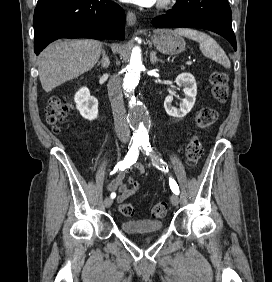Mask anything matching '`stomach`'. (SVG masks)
Masks as SVG:
<instances>
[{"label":"stomach","instance_id":"obj_1","mask_svg":"<svg viewBox=\"0 0 272 282\" xmlns=\"http://www.w3.org/2000/svg\"><path fill=\"white\" fill-rule=\"evenodd\" d=\"M156 49L165 54H178L185 50V40L170 30H157L152 36Z\"/></svg>","mask_w":272,"mask_h":282}]
</instances>
